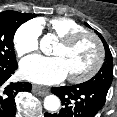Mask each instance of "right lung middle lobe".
<instances>
[{"label":"right lung middle lobe","instance_id":"obj_1","mask_svg":"<svg viewBox=\"0 0 117 117\" xmlns=\"http://www.w3.org/2000/svg\"><path fill=\"white\" fill-rule=\"evenodd\" d=\"M30 13L4 11L0 13V67L16 64L13 37L18 27L36 17Z\"/></svg>","mask_w":117,"mask_h":117}]
</instances>
